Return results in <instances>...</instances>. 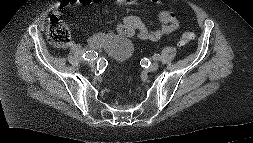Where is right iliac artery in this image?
I'll return each instance as SVG.
<instances>
[{"label":"right iliac artery","instance_id":"82829eb1","mask_svg":"<svg viewBox=\"0 0 253 143\" xmlns=\"http://www.w3.org/2000/svg\"><path fill=\"white\" fill-rule=\"evenodd\" d=\"M82 57L85 61L96 60L98 58V53L90 50L86 51Z\"/></svg>","mask_w":253,"mask_h":143}]
</instances>
